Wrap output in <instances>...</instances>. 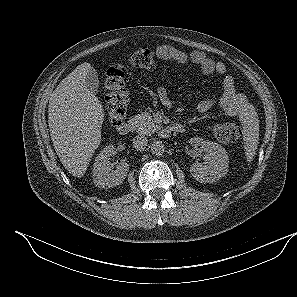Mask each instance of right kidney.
Returning a JSON list of instances; mask_svg holds the SVG:
<instances>
[{
  "mask_svg": "<svg viewBox=\"0 0 297 297\" xmlns=\"http://www.w3.org/2000/svg\"><path fill=\"white\" fill-rule=\"evenodd\" d=\"M116 149L113 145H108L102 149L95 159L93 167V180L96 186L101 188H111L121 184L129 170L126 162H121L113 170L110 157L115 155Z\"/></svg>",
  "mask_w": 297,
  "mask_h": 297,
  "instance_id": "obj_1",
  "label": "right kidney"
}]
</instances>
